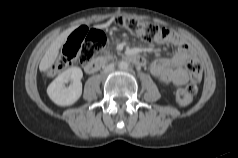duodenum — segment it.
<instances>
[{
    "label": "duodenum",
    "instance_id": "1",
    "mask_svg": "<svg viewBox=\"0 0 238 158\" xmlns=\"http://www.w3.org/2000/svg\"><path fill=\"white\" fill-rule=\"evenodd\" d=\"M124 59L132 62L137 66H144L145 59L139 54H128L124 56ZM106 62V59L103 57L96 58L85 65V71L89 74L95 73L98 71L101 66Z\"/></svg>",
    "mask_w": 238,
    "mask_h": 158
}]
</instances>
